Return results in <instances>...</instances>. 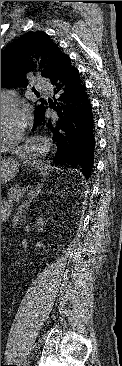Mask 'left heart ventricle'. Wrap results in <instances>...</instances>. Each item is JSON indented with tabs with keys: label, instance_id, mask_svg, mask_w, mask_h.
<instances>
[{
	"label": "left heart ventricle",
	"instance_id": "obj_1",
	"mask_svg": "<svg viewBox=\"0 0 122 366\" xmlns=\"http://www.w3.org/2000/svg\"><path fill=\"white\" fill-rule=\"evenodd\" d=\"M10 124H11V122L9 121L7 123V126H5V125L1 126V136H6L7 135V131L9 129Z\"/></svg>",
	"mask_w": 122,
	"mask_h": 366
}]
</instances>
